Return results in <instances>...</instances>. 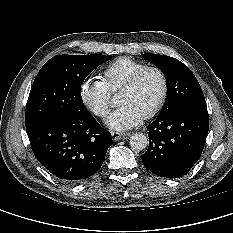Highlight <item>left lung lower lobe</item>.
Returning a JSON list of instances; mask_svg holds the SVG:
<instances>
[{"mask_svg":"<svg viewBox=\"0 0 233 233\" xmlns=\"http://www.w3.org/2000/svg\"><path fill=\"white\" fill-rule=\"evenodd\" d=\"M149 147L141 155L153 173L179 178L192 168L203 151L209 115L203 106H184L158 115L148 127Z\"/></svg>","mask_w":233,"mask_h":233,"instance_id":"0a47b994","label":"left lung lower lobe"}]
</instances>
